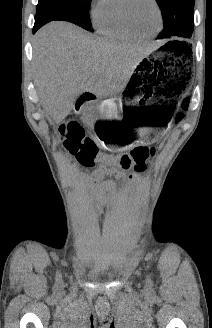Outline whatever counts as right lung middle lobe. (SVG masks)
I'll list each match as a JSON object with an SVG mask.
<instances>
[{
  "label": "right lung middle lobe",
  "instance_id": "obj_1",
  "mask_svg": "<svg viewBox=\"0 0 212 328\" xmlns=\"http://www.w3.org/2000/svg\"><path fill=\"white\" fill-rule=\"evenodd\" d=\"M92 0H39L35 20H65L93 32L89 6Z\"/></svg>",
  "mask_w": 212,
  "mask_h": 328
}]
</instances>
